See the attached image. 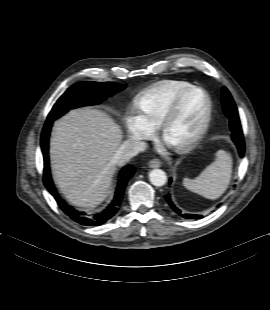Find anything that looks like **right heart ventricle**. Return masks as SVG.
<instances>
[{
	"label": "right heart ventricle",
	"mask_w": 270,
	"mask_h": 310,
	"mask_svg": "<svg viewBox=\"0 0 270 310\" xmlns=\"http://www.w3.org/2000/svg\"><path fill=\"white\" fill-rule=\"evenodd\" d=\"M191 86L190 83L179 80L158 82L140 93L137 105L146 120L157 127L175 97Z\"/></svg>",
	"instance_id": "right-heart-ventricle-1"
}]
</instances>
